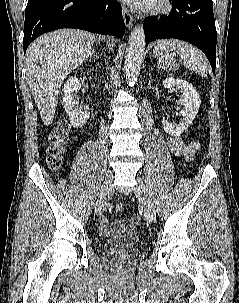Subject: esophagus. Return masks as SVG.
Segmentation results:
<instances>
[{
  "label": "esophagus",
  "mask_w": 239,
  "mask_h": 303,
  "mask_svg": "<svg viewBox=\"0 0 239 303\" xmlns=\"http://www.w3.org/2000/svg\"><path fill=\"white\" fill-rule=\"evenodd\" d=\"M123 20H124L125 26L128 29H130L133 25V18L125 6H123Z\"/></svg>",
  "instance_id": "esophagus-1"
}]
</instances>
